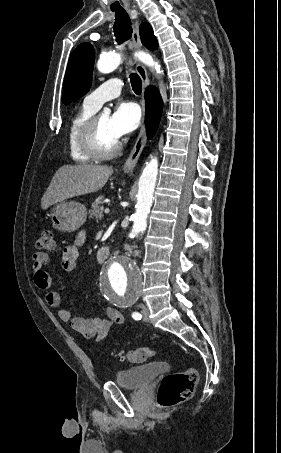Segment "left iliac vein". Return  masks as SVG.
<instances>
[{"instance_id": "left-iliac-vein-1", "label": "left iliac vein", "mask_w": 281, "mask_h": 453, "mask_svg": "<svg viewBox=\"0 0 281 453\" xmlns=\"http://www.w3.org/2000/svg\"><path fill=\"white\" fill-rule=\"evenodd\" d=\"M141 312H142L141 315H143L142 319L146 320V322L147 321L149 322V318H148L149 317V309L147 307H142Z\"/></svg>"}]
</instances>
